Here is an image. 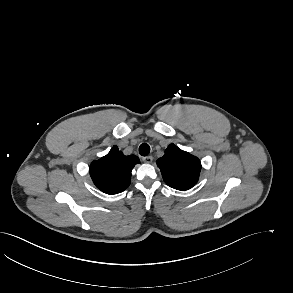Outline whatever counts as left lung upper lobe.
I'll return each instance as SVG.
<instances>
[{"mask_svg":"<svg viewBox=\"0 0 293 293\" xmlns=\"http://www.w3.org/2000/svg\"><path fill=\"white\" fill-rule=\"evenodd\" d=\"M157 165L165 183L181 191L192 188L201 171L200 160L174 144L167 147L164 156L157 160Z\"/></svg>","mask_w":293,"mask_h":293,"instance_id":"left-lung-upper-lobe-1","label":"left lung upper lobe"}]
</instances>
